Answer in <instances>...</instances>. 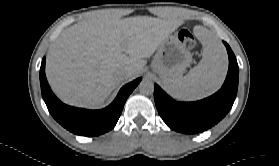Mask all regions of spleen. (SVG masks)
<instances>
[{"instance_id": "spleen-1", "label": "spleen", "mask_w": 279, "mask_h": 166, "mask_svg": "<svg viewBox=\"0 0 279 166\" xmlns=\"http://www.w3.org/2000/svg\"><path fill=\"white\" fill-rule=\"evenodd\" d=\"M196 36L203 46L198 65L184 77L163 82L166 90L179 99L195 100L210 95L220 88L227 72L226 52L218 38L204 28Z\"/></svg>"}]
</instances>
